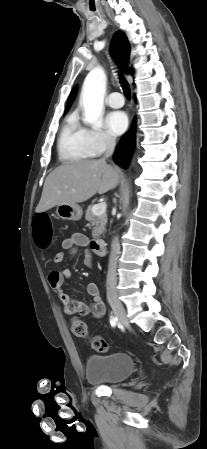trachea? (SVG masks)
Here are the masks:
<instances>
[{
	"label": "trachea",
	"mask_w": 207,
	"mask_h": 449,
	"mask_svg": "<svg viewBox=\"0 0 207 449\" xmlns=\"http://www.w3.org/2000/svg\"><path fill=\"white\" fill-rule=\"evenodd\" d=\"M120 82H121V86H122L124 95L126 96L127 99H130L131 98L130 86L123 75L120 76Z\"/></svg>",
	"instance_id": "obj_1"
}]
</instances>
